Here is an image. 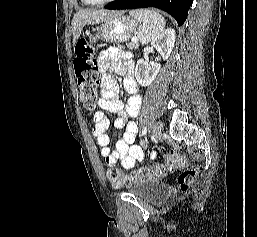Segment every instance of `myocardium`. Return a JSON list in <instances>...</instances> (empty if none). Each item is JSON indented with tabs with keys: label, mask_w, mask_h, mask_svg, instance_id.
<instances>
[{
	"label": "myocardium",
	"mask_w": 257,
	"mask_h": 237,
	"mask_svg": "<svg viewBox=\"0 0 257 237\" xmlns=\"http://www.w3.org/2000/svg\"><path fill=\"white\" fill-rule=\"evenodd\" d=\"M113 1H115V0H102V1L84 0V2L87 5H93V6L105 5V4H108Z\"/></svg>",
	"instance_id": "f54148a6"
}]
</instances>
